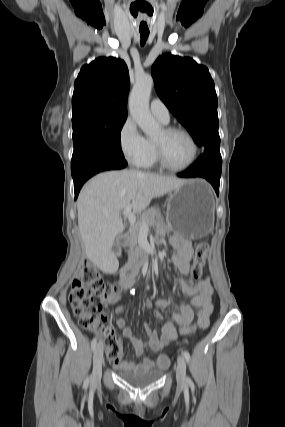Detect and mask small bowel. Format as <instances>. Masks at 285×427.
I'll use <instances>...</instances> for the list:
<instances>
[{
	"label": "small bowel",
	"mask_w": 285,
	"mask_h": 427,
	"mask_svg": "<svg viewBox=\"0 0 285 427\" xmlns=\"http://www.w3.org/2000/svg\"><path fill=\"white\" fill-rule=\"evenodd\" d=\"M170 244L175 250V253L172 256V261L175 267L180 271L184 276L190 273V262L193 257V248L190 241L173 235L170 237ZM138 268L136 270V275ZM136 275L132 278L131 282H126L122 276L120 279V289H128L132 287L136 282ZM170 283L172 285H178L182 292L191 298L189 304L181 303L177 306V310L172 315V321H167L160 331L152 330L148 324H144L145 333L147 339L141 341L138 338L134 337L132 329L126 325V322L123 318H118L114 321L116 327L121 329L122 336L127 338L132 344L136 354L138 356H143L146 349H149L153 352L162 351L170 341H175L177 339V331L175 324L177 323L180 326L189 325L194 318L193 308L197 309V322L200 329H206L209 326L210 316L213 312L212 305V295L213 287L211 285L210 279L208 277L203 279H198L195 281L194 285H189L185 282L184 279H175L170 278ZM121 300L120 291H114L108 296V301L111 304H117ZM145 306L148 308L157 307L159 309H166L170 306L169 300H157L152 302L147 300ZM103 312V319H108V314L101 307ZM124 308L121 305H118L116 308L117 313H122ZM154 318L159 320L162 318V315L159 311H155ZM123 351L121 350L120 357L117 360H110L112 364L116 367H121L124 369L135 370L140 373H145L148 370L153 368L166 369L169 366L170 360L167 354L161 353L158 355L156 360L145 357L143 361L139 364L132 362H121V356Z\"/></svg>",
	"instance_id": "obj_1"
}]
</instances>
